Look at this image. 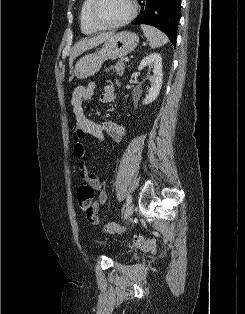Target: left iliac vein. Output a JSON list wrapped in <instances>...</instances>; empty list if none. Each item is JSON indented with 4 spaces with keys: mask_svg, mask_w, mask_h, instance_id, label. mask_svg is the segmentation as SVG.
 I'll use <instances>...</instances> for the list:
<instances>
[{
    "mask_svg": "<svg viewBox=\"0 0 245 314\" xmlns=\"http://www.w3.org/2000/svg\"><path fill=\"white\" fill-rule=\"evenodd\" d=\"M133 212H134V207L132 204H129L124 214V220H128L132 216Z\"/></svg>",
    "mask_w": 245,
    "mask_h": 314,
    "instance_id": "4c4485c4",
    "label": "left iliac vein"
}]
</instances>
